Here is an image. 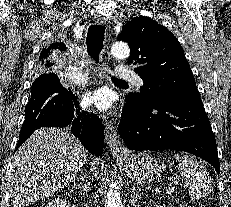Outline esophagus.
<instances>
[{
	"instance_id": "34e87169",
	"label": "esophagus",
	"mask_w": 231,
	"mask_h": 207,
	"mask_svg": "<svg viewBox=\"0 0 231 207\" xmlns=\"http://www.w3.org/2000/svg\"><path fill=\"white\" fill-rule=\"evenodd\" d=\"M98 24L108 25L110 23L109 19L106 17H97L96 19ZM105 138L106 143L113 154L123 153L125 151V147L122 145L116 127L114 126L111 120L105 119Z\"/></svg>"
}]
</instances>
